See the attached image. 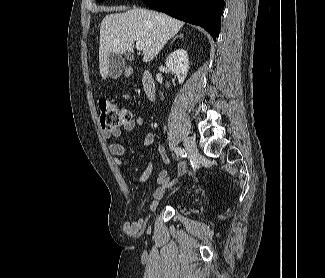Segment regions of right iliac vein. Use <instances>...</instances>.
I'll list each match as a JSON object with an SVG mask.
<instances>
[{"label": "right iliac vein", "mask_w": 325, "mask_h": 278, "mask_svg": "<svg viewBox=\"0 0 325 278\" xmlns=\"http://www.w3.org/2000/svg\"><path fill=\"white\" fill-rule=\"evenodd\" d=\"M184 146L191 154V156L196 160L200 156L199 150L197 148V144L195 139L192 137H185L184 138Z\"/></svg>", "instance_id": "1"}]
</instances>
